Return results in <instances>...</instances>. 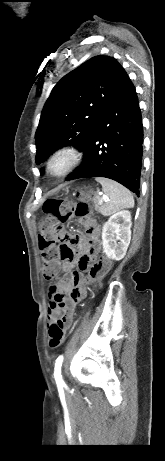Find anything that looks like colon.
<instances>
[{
	"instance_id": "colon-1",
	"label": "colon",
	"mask_w": 165,
	"mask_h": 461,
	"mask_svg": "<svg viewBox=\"0 0 165 461\" xmlns=\"http://www.w3.org/2000/svg\"><path fill=\"white\" fill-rule=\"evenodd\" d=\"M80 201L77 204L64 199H49L43 205V212L47 216L40 223L39 244L43 251L44 267L43 275L46 280H53L56 277L55 261L59 258V251H73L71 246L58 242L55 237L60 234L62 224L75 214L78 217H85L89 214V206L82 200L83 195L79 194ZM100 269H106L109 262L105 259L95 261ZM49 344L55 348L64 342L65 327L63 320L58 317L49 326Z\"/></svg>"
}]
</instances>
